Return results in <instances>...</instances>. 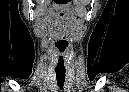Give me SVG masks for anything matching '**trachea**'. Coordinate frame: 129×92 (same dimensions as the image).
<instances>
[{
	"label": "trachea",
	"instance_id": "trachea-1",
	"mask_svg": "<svg viewBox=\"0 0 129 92\" xmlns=\"http://www.w3.org/2000/svg\"><path fill=\"white\" fill-rule=\"evenodd\" d=\"M56 80L58 87L62 89L65 83V71H56Z\"/></svg>",
	"mask_w": 129,
	"mask_h": 92
}]
</instances>
